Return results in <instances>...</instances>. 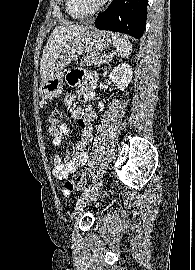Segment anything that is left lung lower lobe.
<instances>
[{"mask_svg":"<svg viewBox=\"0 0 195 270\" xmlns=\"http://www.w3.org/2000/svg\"><path fill=\"white\" fill-rule=\"evenodd\" d=\"M147 5L148 0H113L105 12L97 16L95 26L140 39L145 30Z\"/></svg>","mask_w":195,"mask_h":270,"instance_id":"obj_1","label":"left lung lower lobe"}]
</instances>
